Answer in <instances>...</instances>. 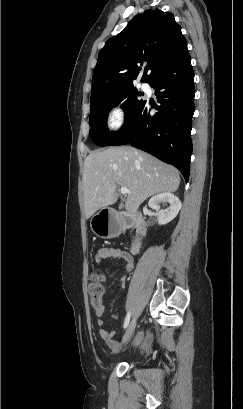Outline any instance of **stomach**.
<instances>
[{"instance_id": "stomach-1", "label": "stomach", "mask_w": 243, "mask_h": 409, "mask_svg": "<svg viewBox=\"0 0 243 409\" xmlns=\"http://www.w3.org/2000/svg\"><path fill=\"white\" fill-rule=\"evenodd\" d=\"M101 213L102 211L97 213L91 219V229L97 236H100L102 238H110L114 234L108 226V221L102 219L103 214Z\"/></svg>"}]
</instances>
